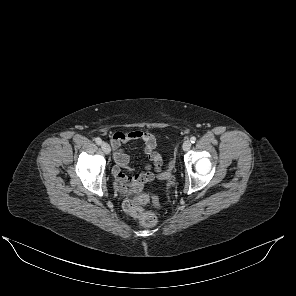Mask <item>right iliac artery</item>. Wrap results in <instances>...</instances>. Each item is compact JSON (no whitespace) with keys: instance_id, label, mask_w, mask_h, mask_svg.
Wrapping results in <instances>:
<instances>
[{"instance_id":"1","label":"right iliac artery","mask_w":296,"mask_h":296,"mask_svg":"<svg viewBox=\"0 0 296 296\" xmlns=\"http://www.w3.org/2000/svg\"><path fill=\"white\" fill-rule=\"evenodd\" d=\"M96 143L98 144V145H101L102 144V140L100 139V138H96Z\"/></svg>"}]
</instances>
